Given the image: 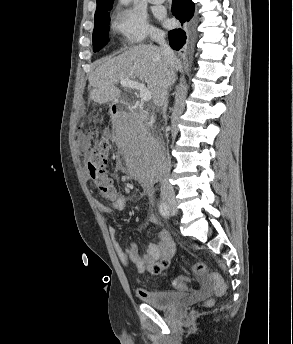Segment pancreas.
Returning <instances> with one entry per match:
<instances>
[{"mask_svg":"<svg viewBox=\"0 0 293 344\" xmlns=\"http://www.w3.org/2000/svg\"><path fill=\"white\" fill-rule=\"evenodd\" d=\"M139 131L140 132L143 131L142 127L140 129H138V130H131V134L133 135V136H131V138L134 139V137L138 134Z\"/></svg>","mask_w":293,"mask_h":344,"instance_id":"pancreas-1","label":"pancreas"}]
</instances>
